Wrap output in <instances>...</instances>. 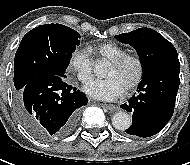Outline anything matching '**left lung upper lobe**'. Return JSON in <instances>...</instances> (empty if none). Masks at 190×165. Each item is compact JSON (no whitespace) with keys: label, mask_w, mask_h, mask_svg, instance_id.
I'll list each match as a JSON object with an SVG mask.
<instances>
[{"label":"left lung upper lobe","mask_w":190,"mask_h":165,"mask_svg":"<svg viewBox=\"0 0 190 165\" xmlns=\"http://www.w3.org/2000/svg\"><path fill=\"white\" fill-rule=\"evenodd\" d=\"M115 37L135 48L143 68L142 77L161 66L180 64L174 46L153 29L139 28Z\"/></svg>","instance_id":"left-lung-upper-lobe-1"}]
</instances>
